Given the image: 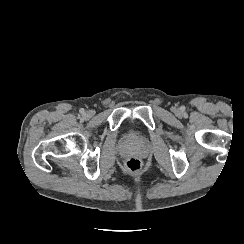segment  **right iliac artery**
Wrapping results in <instances>:
<instances>
[{
  "label": "right iliac artery",
  "mask_w": 244,
  "mask_h": 244,
  "mask_svg": "<svg viewBox=\"0 0 244 244\" xmlns=\"http://www.w3.org/2000/svg\"><path fill=\"white\" fill-rule=\"evenodd\" d=\"M80 113L84 114V109L83 108L80 109Z\"/></svg>",
  "instance_id": "1"
}]
</instances>
